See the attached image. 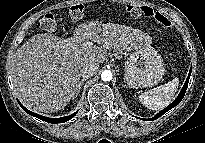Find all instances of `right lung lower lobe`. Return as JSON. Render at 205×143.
<instances>
[{
	"instance_id": "obj_1",
	"label": "right lung lower lobe",
	"mask_w": 205,
	"mask_h": 143,
	"mask_svg": "<svg viewBox=\"0 0 205 143\" xmlns=\"http://www.w3.org/2000/svg\"><path fill=\"white\" fill-rule=\"evenodd\" d=\"M18 103L23 108V110L25 112H27L28 114H30V115H32L34 117H37V118H39V119H41V120H43L45 122H48V123H63V122H66V121L72 119L76 115V113H77V111H76L75 113H73V114H71L69 116H66V117H63V118H53L52 119V118L45 117V116H42V115H39V114H35L34 112H31L28 109H26L19 101H18Z\"/></svg>"
}]
</instances>
